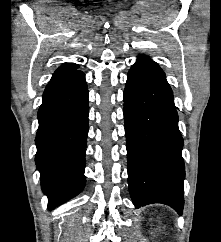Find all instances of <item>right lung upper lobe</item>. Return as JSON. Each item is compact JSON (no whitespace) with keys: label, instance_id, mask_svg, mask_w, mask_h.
I'll use <instances>...</instances> for the list:
<instances>
[{"label":"right lung upper lobe","instance_id":"1","mask_svg":"<svg viewBox=\"0 0 221 242\" xmlns=\"http://www.w3.org/2000/svg\"><path fill=\"white\" fill-rule=\"evenodd\" d=\"M78 65L75 63H64L53 74L51 81L77 71Z\"/></svg>","mask_w":221,"mask_h":242}]
</instances>
